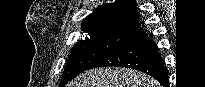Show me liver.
<instances>
[{
  "label": "liver",
  "mask_w": 205,
  "mask_h": 87,
  "mask_svg": "<svg viewBox=\"0 0 205 87\" xmlns=\"http://www.w3.org/2000/svg\"><path fill=\"white\" fill-rule=\"evenodd\" d=\"M67 87H160L148 75L128 68H96L87 70Z\"/></svg>",
  "instance_id": "6515ba94"
}]
</instances>
